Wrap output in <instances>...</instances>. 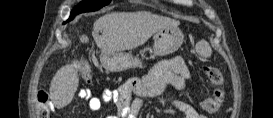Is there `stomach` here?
I'll use <instances>...</instances> for the list:
<instances>
[{"mask_svg":"<svg viewBox=\"0 0 273 118\" xmlns=\"http://www.w3.org/2000/svg\"><path fill=\"white\" fill-rule=\"evenodd\" d=\"M153 39V56H166L178 50L184 41V35L177 26H168L156 31ZM100 60L103 67L111 72L142 66L138 58L124 52H102Z\"/></svg>","mask_w":273,"mask_h":118,"instance_id":"1","label":"stomach"}]
</instances>
